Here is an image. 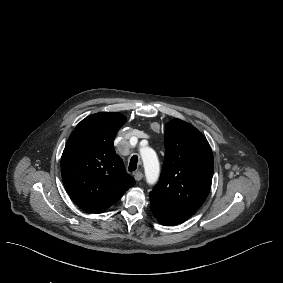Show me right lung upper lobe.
<instances>
[{"instance_id":"obj_1","label":"right lung upper lobe","mask_w":283,"mask_h":283,"mask_svg":"<svg viewBox=\"0 0 283 283\" xmlns=\"http://www.w3.org/2000/svg\"><path fill=\"white\" fill-rule=\"evenodd\" d=\"M126 117L100 112L82 120L71 133L61 158L64 186L72 200L91 213H102L135 185L113 141Z\"/></svg>"}]
</instances>
